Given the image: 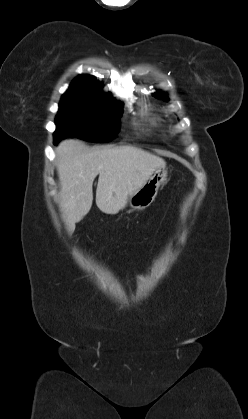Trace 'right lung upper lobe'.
I'll return each mask as SVG.
<instances>
[{
  "mask_svg": "<svg viewBox=\"0 0 248 419\" xmlns=\"http://www.w3.org/2000/svg\"><path fill=\"white\" fill-rule=\"evenodd\" d=\"M65 94L99 101H115L111 95L103 93L96 79L89 75H80L74 79Z\"/></svg>",
  "mask_w": 248,
  "mask_h": 419,
  "instance_id": "right-lung-upper-lobe-1",
  "label": "right lung upper lobe"
}]
</instances>
